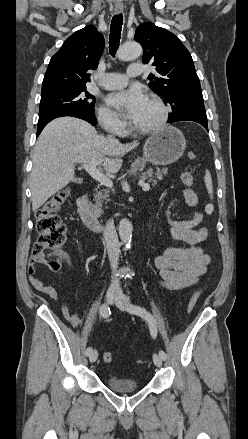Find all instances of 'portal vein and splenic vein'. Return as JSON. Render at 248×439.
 I'll return each mask as SVG.
<instances>
[{"label": "portal vein and splenic vein", "mask_w": 248, "mask_h": 439, "mask_svg": "<svg viewBox=\"0 0 248 439\" xmlns=\"http://www.w3.org/2000/svg\"><path fill=\"white\" fill-rule=\"evenodd\" d=\"M97 165L94 162H90L88 164H83L82 167L93 177L95 180L103 184L108 188L113 187L112 180L104 175L99 169L96 167ZM139 185L142 186L144 191H148L150 189V185L148 183H144L143 181L139 182Z\"/></svg>", "instance_id": "1"}]
</instances>
